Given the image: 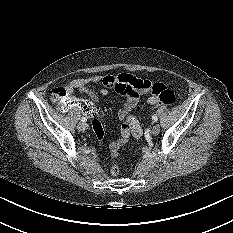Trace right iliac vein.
I'll use <instances>...</instances> for the list:
<instances>
[{
	"mask_svg": "<svg viewBox=\"0 0 233 233\" xmlns=\"http://www.w3.org/2000/svg\"><path fill=\"white\" fill-rule=\"evenodd\" d=\"M87 125L83 122H80L78 125H77V129L81 132H84L85 129H86Z\"/></svg>",
	"mask_w": 233,
	"mask_h": 233,
	"instance_id": "1",
	"label": "right iliac vein"
}]
</instances>
